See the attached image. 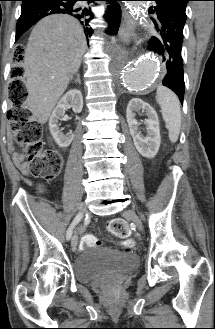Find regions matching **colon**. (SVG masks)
<instances>
[{"mask_svg":"<svg viewBox=\"0 0 215 329\" xmlns=\"http://www.w3.org/2000/svg\"><path fill=\"white\" fill-rule=\"evenodd\" d=\"M20 55L14 56L15 66H11V73H21L20 62L25 61L21 49ZM28 97L27 88L19 77H14L9 85V99L11 109L8 117L11 128L15 133L17 143L23 147L26 158L27 170L36 178L45 180L54 179L60 172L62 159L59 153L53 149L45 148L41 140L42 127L33 117L30 109L26 106ZM110 233L118 238L125 239L129 236V226L121 218H114L108 225ZM100 240L93 235H85L81 239V247L98 246ZM133 242L127 240L123 249L130 250Z\"/></svg>","mask_w":215,"mask_h":329,"instance_id":"colon-1","label":"colon"}]
</instances>
